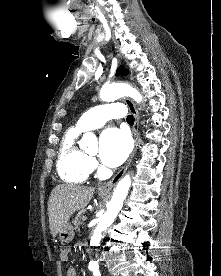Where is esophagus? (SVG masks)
<instances>
[{
	"label": "esophagus",
	"mask_w": 221,
	"mask_h": 276,
	"mask_svg": "<svg viewBox=\"0 0 221 276\" xmlns=\"http://www.w3.org/2000/svg\"><path fill=\"white\" fill-rule=\"evenodd\" d=\"M125 102L129 108V110L132 112V114L134 115L135 118V122H134V126H133V136H134V141H135V146L134 149L131 153V155L129 156L127 162L125 163V165L121 168V170L110 180L108 181L106 184L100 186L98 188V192L102 193V194H107L109 193L112 188L118 183V181L123 177V175L125 174V172L127 171L135 153L136 150L138 148V138H139V113L138 110L135 106V104L133 103V101L129 98L125 99Z\"/></svg>",
	"instance_id": "obj_1"
}]
</instances>
